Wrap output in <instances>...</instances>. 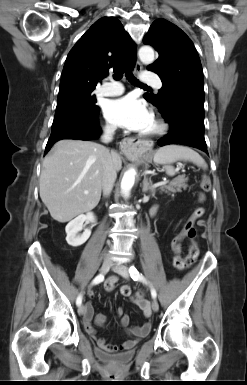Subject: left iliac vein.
I'll list each match as a JSON object with an SVG mask.
<instances>
[{"label":"left iliac vein","mask_w":247,"mask_h":385,"mask_svg":"<svg viewBox=\"0 0 247 385\" xmlns=\"http://www.w3.org/2000/svg\"><path fill=\"white\" fill-rule=\"evenodd\" d=\"M113 271L121 275L123 278L128 279L129 278V270L126 265L120 264V265H113L112 267ZM151 307L153 311L157 312L159 309V304L156 299L152 300Z\"/></svg>","instance_id":"4c4485c4"}]
</instances>
